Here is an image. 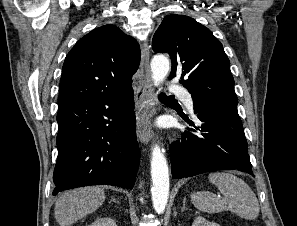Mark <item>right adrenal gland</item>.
<instances>
[{
    "label": "right adrenal gland",
    "instance_id": "2a0ac1e0",
    "mask_svg": "<svg viewBox=\"0 0 297 226\" xmlns=\"http://www.w3.org/2000/svg\"><path fill=\"white\" fill-rule=\"evenodd\" d=\"M112 201L115 202V203H118V204L120 203V202L117 201L114 197H112Z\"/></svg>",
    "mask_w": 297,
    "mask_h": 226
}]
</instances>
